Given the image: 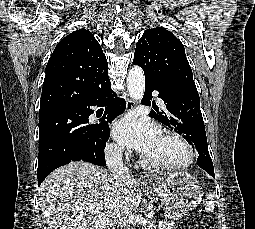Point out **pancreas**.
Instances as JSON below:
<instances>
[{
    "label": "pancreas",
    "instance_id": "pancreas-1",
    "mask_svg": "<svg viewBox=\"0 0 255 229\" xmlns=\"http://www.w3.org/2000/svg\"><path fill=\"white\" fill-rule=\"evenodd\" d=\"M159 229H173V226L168 222H164L161 226H159Z\"/></svg>",
    "mask_w": 255,
    "mask_h": 229
}]
</instances>
